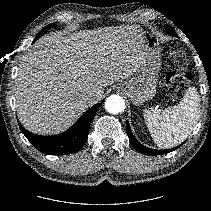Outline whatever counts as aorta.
Masks as SVG:
<instances>
[{"label": "aorta", "mask_w": 211, "mask_h": 211, "mask_svg": "<svg viewBox=\"0 0 211 211\" xmlns=\"http://www.w3.org/2000/svg\"><path fill=\"white\" fill-rule=\"evenodd\" d=\"M105 109L111 114H118L124 111V99L118 95H111L105 101Z\"/></svg>", "instance_id": "762f6f07"}]
</instances>
